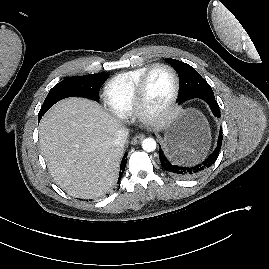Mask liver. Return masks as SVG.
Returning <instances> with one entry per match:
<instances>
[{"label": "liver", "mask_w": 269, "mask_h": 269, "mask_svg": "<svg viewBox=\"0 0 269 269\" xmlns=\"http://www.w3.org/2000/svg\"><path fill=\"white\" fill-rule=\"evenodd\" d=\"M168 121L161 120L156 128H165ZM120 128V121L97 102L67 98L54 105L39 124L41 154L54 181L74 197L108 192L124 153L112 144Z\"/></svg>", "instance_id": "1"}]
</instances>
